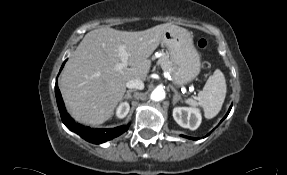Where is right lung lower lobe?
<instances>
[{"label": "right lung lower lobe", "instance_id": "1", "mask_svg": "<svg viewBox=\"0 0 287 175\" xmlns=\"http://www.w3.org/2000/svg\"><path fill=\"white\" fill-rule=\"evenodd\" d=\"M64 64L65 62L63 63L62 67L64 66ZM55 95H56V100H57V105H58V109L60 112V116L65 126L69 130L75 132L76 134H78L80 137H82L88 142L95 143V144L104 143L108 140H111L121 135L129 127V124H128L127 126H119V127L110 128V129H93L90 127L80 125L76 123L71 118V116L67 113L57 83L55 85Z\"/></svg>", "mask_w": 287, "mask_h": 175}]
</instances>
